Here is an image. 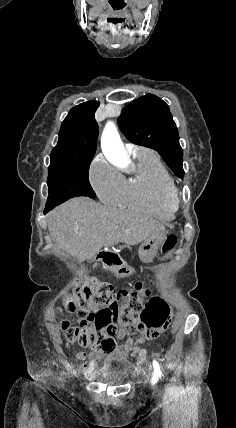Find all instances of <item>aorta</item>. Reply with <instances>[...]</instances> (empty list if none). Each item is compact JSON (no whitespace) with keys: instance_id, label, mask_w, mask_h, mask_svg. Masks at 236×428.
<instances>
[{"instance_id":"1","label":"aorta","mask_w":236,"mask_h":428,"mask_svg":"<svg viewBox=\"0 0 236 428\" xmlns=\"http://www.w3.org/2000/svg\"><path fill=\"white\" fill-rule=\"evenodd\" d=\"M101 146L104 154L119 164H127V155L120 135L113 122H108L103 130Z\"/></svg>"}]
</instances>
